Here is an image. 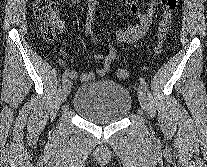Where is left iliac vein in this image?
Here are the masks:
<instances>
[{
	"label": "left iliac vein",
	"mask_w": 207,
	"mask_h": 167,
	"mask_svg": "<svg viewBox=\"0 0 207 167\" xmlns=\"http://www.w3.org/2000/svg\"><path fill=\"white\" fill-rule=\"evenodd\" d=\"M138 99H139L141 107L146 111L147 110V98H146V93L141 85L138 87Z\"/></svg>",
	"instance_id": "1"
}]
</instances>
